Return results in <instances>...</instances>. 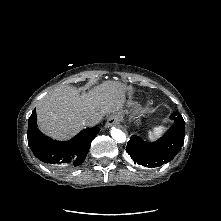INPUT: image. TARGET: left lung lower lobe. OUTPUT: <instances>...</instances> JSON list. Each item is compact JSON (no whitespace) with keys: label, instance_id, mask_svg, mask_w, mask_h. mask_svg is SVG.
Segmentation results:
<instances>
[{"label":"left lung lower lobe","instance_id":"left-lung-lower-lobe-1","mask_svg":"<svg viewBox=\"0 0 221 221\" xmlns=\"http://www.w3.org/2000/svg\"><path fill=\"white\" fill-rule=\"evenodd\" d=\"M170 118L174 125L158 141L146 142L136 135L130 138L126 151L134 162L144 167H158L175 157L184 143L185 122L178 112Z\"/></svg>","mask_w":221,"mask_h":221}]
</instances>
